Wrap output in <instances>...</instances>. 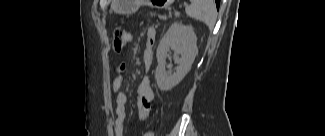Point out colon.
<instances>
[{
    "label": "colon",
    "instance_id": "obj_1",
    "mask_svg": "<svg viewBox=\"0 0 325 136\" xmlns=\"http://www.w3.org/2000/svg\"><path fill=\"white\" fill-rule=\"evenodd\" d=\"M126 31L122 28H117L113 35V47L117 52H120L126 45L125 42ZM144 136H154L152 131L144 134Z\"/></svg>",
    "mask_w": 325,
    "mask_h": 136
}]
</instances>
